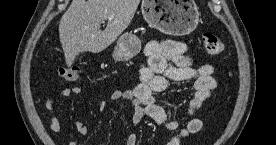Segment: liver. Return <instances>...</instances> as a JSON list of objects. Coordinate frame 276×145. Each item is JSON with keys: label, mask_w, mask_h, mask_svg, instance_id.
Segmentation results:
<instances>
[{"label": "liver", "mask_w": 276, "mask_h": 145, "mask_svg": "<svg viewBox=\"0 0 276 145\" xmlns=\"http://www.w3.org/2000/svg\"><path fill=\"white\" fill-rule=\"evenodd\" d=\"M140 0H72L59 23V37L68 66L84 51L99 53L132 21ZM108 21L100 30L102 21Z\"/></svg>", "instance_id": "liver-1"}]
</instances>
